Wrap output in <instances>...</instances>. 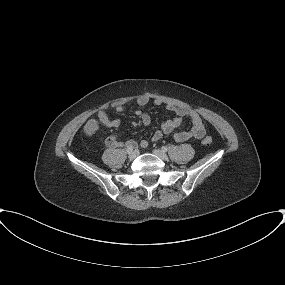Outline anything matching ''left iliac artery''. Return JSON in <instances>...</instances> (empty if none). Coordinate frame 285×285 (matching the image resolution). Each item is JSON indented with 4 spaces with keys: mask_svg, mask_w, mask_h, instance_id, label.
<instances>
[{
    "mask_svg": "<svg viewBox=\"0 0 285 285\" xmlns=\"http://www.w3.org/2000/svg\"><path fill=\"white\" fill-rule=\"evenodd\" d=\"M167 150H168V148H167L166 146H163V147H162V151H163V152H166Z\"/></svg>",
    "mask_w": 285,
    "mask_h": 285,
    "instance_id": "1",
    "label": "left iliac artery"
}]
</instances>
